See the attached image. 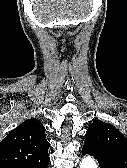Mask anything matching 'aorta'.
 <instances>
[{"label":"aorta","mask_w":127,"mask_h":168,"mask_svg":"<svg viewBox=\"0 0 127 168\" xmlns=\"http://www.w3.org/2000/svg\"><path fill=\"white\" fill-rule=\"evenodd\" d=\"M79 168H97V164L92 157L87 156L82 159Z\"/></svg>","instance_id":"1"}]
</instances>
